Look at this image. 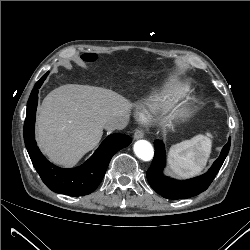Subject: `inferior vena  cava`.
I'll return each instance as SVG.
<instances>
[{
	"mask_svg": "<svg viewBox=\"0 0 250 250\" xmlns=\"http://www.w3.org/2000/svg\"><path fill=\"white\" fill-rule=\"evenodd\" d=\"M128 124V116L127 115H118L108 119L104 128L107 130H122Z\"/></svg>",
	"mask_w": 250,
	"mask_h": 250,
	"instance_id": "1",
	"label": "inferior vena cava"
}]
</instances>
